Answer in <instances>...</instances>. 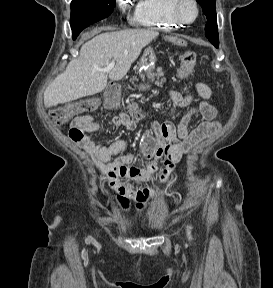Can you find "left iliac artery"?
I'll use <instances>...</instances> for the list:
<instances>
[{"label":"left iliac artery","mask_w":273,"mask_h":288,"mask_svg":"<svg viewBox=\"0 0 273 288\" xmlns=\"http://www.w3.org/2000/svg\"><path fill=\"white\" fill-rule=\"evenodd\" d=\"M187 235H188L189 240H191L192 239L191 231H190V228L188 226H187Z\"/></svg>","instance_id":"1"}]
</instances>
